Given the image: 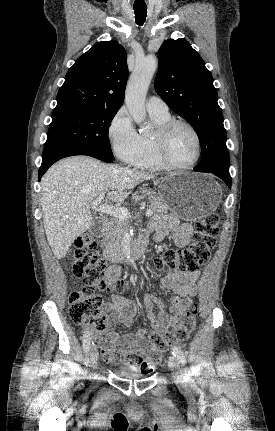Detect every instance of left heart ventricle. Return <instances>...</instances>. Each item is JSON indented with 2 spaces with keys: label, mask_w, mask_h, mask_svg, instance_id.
Segmentation results:
<instances>
[{
  "label": "left heart ventricle",
  "mask_w": 275,
  "mask_h": 431,
  "mask_svg": "<svg viewBox=\"0 0 275 431\" xmlns=\"http://www.w3.org/2000/svg\"><path fill=\"white\" fill-rule=\"evenodd\" d=\"M169 156L177 164H188L196 155V141L189 129L176 127L169 139Z\"/></svg>",
  "instance_id": "b2bd125f"
}]
</instances>
